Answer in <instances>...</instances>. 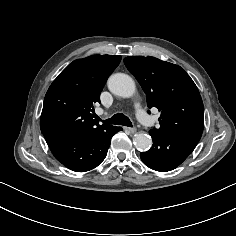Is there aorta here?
Returning a JSON list of instances; mask_svg holds the SVG:
<instances>
[{"instance_id":"762f6f07","label":"aorta","mask_w":236,"mask_h":236,"mask_svg":"<svg viewBox=\"0 0 236 236\" xmlns=\"http://www.w3.org/2000/svg\"><path fill=\"white\" fill-rule=\"evenodd\" d=\"M109 90L120 97L129 98L135 93L134 80L127 74L116 73L108 79ZM134 144L137 149L146 151L152 146V138L145 133H138L134 137Z\"/></svg>"}]
</instances>
